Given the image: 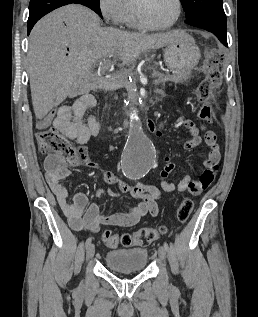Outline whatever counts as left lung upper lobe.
Returning <instances> with one entry per match:
<instances>
[{
    "label": "left lung upper lobe",
    "mask_w": 258,
    "mask_h": 317,
    "mask_svg": "<svg viewBox=\"0 0 258 317\" xmlns=\"http://www.w3.org/2000/svg\"><path fill=\"white\" fill-rule=\"evenodd\" d=\"M181 3L189 25L226 29L222 0H181Z\"/></svg>",
    "instance_id": "1"
}]
</instances>
